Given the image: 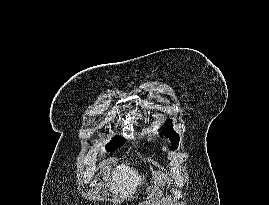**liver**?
Listing matches in <instances>:
<instances>
[{
    "mask_svg": "<svg viewBox=\"0 0 269 205\" xmlns=\"http://www.w3.org/2000/svg\"><path fill=\"white\" fill-rule=\"evenodd\" d=\"M144 179L133 168L126 164H121L112 171L111 185L119 192V199L124 201L135 193L137 186Z\"/></svg>",
    "mask_w": 269,
    "mask_h": 205,
    "instance_id": "1",
    "label": "liver"
}]
</instances>
